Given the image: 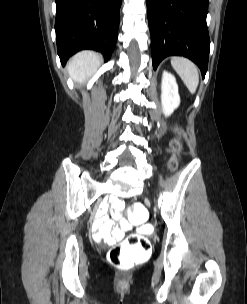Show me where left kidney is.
Wrapping results in <instances>:
<instances>
[{"label":"left kidney","mask_w":247,"mask_h":304,"mask_svg":"<svg viewBox=\"0 0 247 304\" xmlns=\"http://www.w3.org/2000/svg\"><path fill=\"white\" fill-rule=\"evenodd\" d=\"M161 91L163 111L166 116H169L179 106L180 96L175 77L166 71L163 72Z\"/></svg>","instance_id":"left-kidney-1"}]
</instances>
